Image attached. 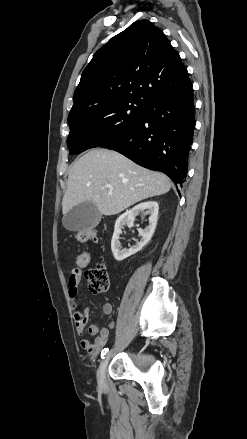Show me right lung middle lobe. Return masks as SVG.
Here are the masks:
<instances>
[{
	"instance_id": "1",
	"label": "right lung middle lobe",
	"mask_w": 247,
	"mask_h": 439,
	"mask_svg": "<svg viewBox=\"0 0 247 439\" xmlns=\"http://www.w3.org/2000/svg\"><path fill=\"white\" fill-rule=\"evenodd\" d=\"M147 104L122 100L106 103L68 117L67 145L71 154L94 147L106 148L140 122Z\"/></svg>"
}]
</instances>
